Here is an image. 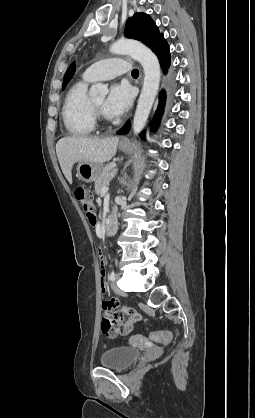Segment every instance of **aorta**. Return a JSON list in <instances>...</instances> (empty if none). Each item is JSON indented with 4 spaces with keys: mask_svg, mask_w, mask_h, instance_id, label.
Returning a JSON list of instances; mask_svg holds the SVG:
<instances>
[{
    "mask_svg": "<svg viewBox=\"0 0 255 418\" xmlns=\"http://www.w3.org/2000/svg\"><path fill=\"white\" fill-rule=\"evenodd\" d=\"M113 54H128L144 69V82L133 120V132L138 134L144 128L160 84V64L156 55L143 44L134 40H119L110 47ZM108 88L97 83L90 88L92 97H105Z\"/></svg>",
    "mask_w": 255,
    "mask_h": 418,
    "instance_id": "aorta-1",
    "label": "aorta"
}]
</instances>
